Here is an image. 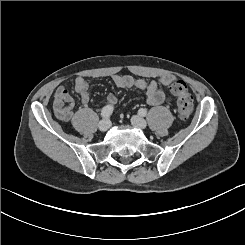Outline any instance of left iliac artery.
<instances>
[{
    "label": "left iliac artery",
    "instance_id": "left-iliac-artery-1",
    "mask_svg": "<svg viewBox=\"0 0 245 245\" xmlns=\"http://www.w3.org/2000/svg\"><path fill=\"white\" fill-rule=\"evenodd\" d=\"M138 113H139L141 116H146L147 110L144 109V108H140V109L138 110Z\"/></svg>",
    "mask_w": 245,
    "mask_h": 245
}]
</instances>
